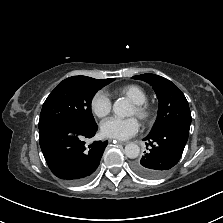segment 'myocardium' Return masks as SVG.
<instances>
[{"label": "myocardium", "mask_w": 223, "mask_h": 223, "mask_svg": "<svg viewBox=\"0 0 223 223\" xmlns=\"http://www.w3.org/2000/svg\"><path fill=\"white\" fill-rule=\"evenodd\" d=\"M135 108V115L143 122V123H150L156 114V106L149 102L144 101L141 103H133Z\"/></svg>", "instance_id": "1"}]
</instances>
